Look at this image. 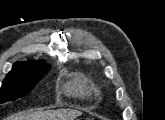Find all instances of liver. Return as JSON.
I'll use <instances>...</instances> for the list:
<instances>
[{
  "mask_svg": "<svg viewBox=\"0 0 165 120\" xmlns=\"http://www.w3.org/2000/svg\"><path fill=\"white\" fill-rule=\"evenodd\" d=\"M81 115L79 111L62 109L52 112L24 114L11 117L10 120H73Z\"/></svg>",
  "mask_w": 165,
  "mask_h": 120,
  "instance_id": "6515ba94",
  "label": "liver"
}]
</instances>
